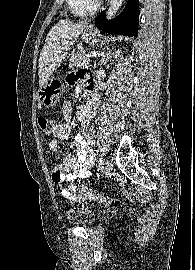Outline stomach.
Wrapping results in <instances>:
<instances>
[{"label": "stomach", "mask_w": 195, "mask_h": 270, "mask_svg": "<svg viewBox=\"0 0 195 270\" xmlns=\"http://www.w3.org/2000/svg\"><path fill=\"white\" fill-rule=\"evenodd\" d=\"M99 33L91 26L86 27L83 38L86 42L95 43ZM64 92V85L58 78H50L37 93L38 102L46 108L55 106Z\"/></svg>", "instance_id": "0dacf381"}]
</instances>
